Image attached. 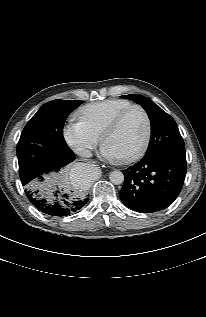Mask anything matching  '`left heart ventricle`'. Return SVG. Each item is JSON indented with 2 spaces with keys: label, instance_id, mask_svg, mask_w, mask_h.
Listing matches in <instances>:
<instances>
[{
  "label": "left heart ventricle",
  "instance_id": "obj_1",
  "mask_svg": "<svg viewBox=\"0 0 206 317\" xmlns=\"http://www.w3.org/2000/svg\"><path fill=\"white\" fill-rule=\"evenodd\" d=\"M145 119L141 111L133 110L122 121L120 126L105 140V145L123 157L136 150L145 135Z\"/></svg>",
  "mask_w": 206,
  "mask_h": 317
}]
</instances>
